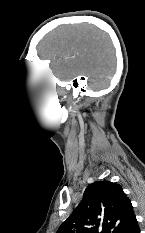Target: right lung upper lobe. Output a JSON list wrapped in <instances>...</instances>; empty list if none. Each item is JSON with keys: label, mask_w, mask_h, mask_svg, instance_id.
Instances as JSON below:
<instances>
[{"label": "right lung upper lobe", "mask_w": 145, "mask_h": 233, "mask_svg": "<svg viewBox=\"0 0 145 233\" xmlns=\"http://www.w3.org/2000/svg\"><path fill=\"white\" fill-rule=\"evenodd\" d=\"M134 217L120 185L97 181L86 188L81 203L57 233H123Z\"/></svg>", "instance_id": "obj_1"}]
</instances>
